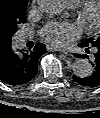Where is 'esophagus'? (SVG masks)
Returning a JSON list of instances; mask_svg holds the SVG:
<instances>
[{
  "mask_svg": "<svg viewBox=\"0 0 100 118\" xmlns=\"http://www.w3.org/2000/svg\"><path fill=\"white\" fill-rule=\"evenodd\" d=\"M46 48H47L48 51H60V52H62V53H64V54H68L67 52H65V51H63V50H60V49L55 48V47H52V46H50V45H47Z\"/></svg>",
  "mask_w": 100,
  "mask_h": 118,
  "instance_id": "obj_1",
  "label": "esophagus"
}]
</instances>
